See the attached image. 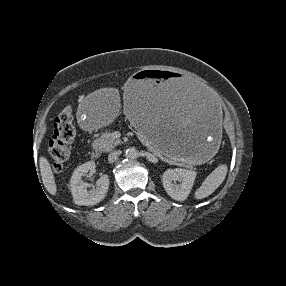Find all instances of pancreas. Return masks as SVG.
I'll return each mask as SVG.
<instances>
[{
    "label": "pancreas",
    "mask_w": 286,
    "mask_h": 286,
    "mask_svg": "<svg viewBox=\"0 0 286 286\" xmlns=\"http://www.w3.org/2000/svg\"><path fill=\"white\" fill-rule=\"evenodd\" d=\"M140 140L142 141L143 144L146 145L147 149L154 153L156 156L160 157L162 160H164L165 162L168 163H177V158L176 157H164L163 154L158 150V148H155L154 146H152L148 139H146L145 137H140ZM121 143L120 139H116L112 132L110 131H106L104 134H102L100 136V138L94 140L93 142V148L99 151H103V152H109L112 149H114L117 145H119Z\"/></svg>",
    "instance_id": "obj_1"
}]
</instances>
